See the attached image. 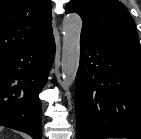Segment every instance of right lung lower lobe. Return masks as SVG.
<instances>
[{"instance_id":"obj_1","label":"right lung lower lobe","mask_w":141,"mask_h":139,"mask_svg":"<svg viewBox=\"0 0 141 139\" xmlns=\"http://www.w3.org/2000/svg\"><path fill=\"white\" fill-rule=\"evenodd\" d=\"M55 55L53 35L0 54V125L42 138L38 97Z\"/></svg>"}]
</instances>
